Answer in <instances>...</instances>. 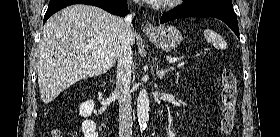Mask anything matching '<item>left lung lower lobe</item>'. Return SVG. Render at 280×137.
<instances>
[{
    "instance_id": "0a47b994",
    "label": "left lung lower lobe",
    "mask_w": 280,
    "mask_h": 137,
    "mask_svg": "<svg viewBox=\"0 0 280 137\" xmlns=\"http://www.w3.org/2000/svg\"><path fill=\"white\" fill-rule=\"evenodd\" d=\"M183 17H214L226 23L239 38L237 16L232 3L212 1L177 7L162 15L160 22L166 23ZM240 39V38H239Z\"/></svg>"
}]
</instances>
